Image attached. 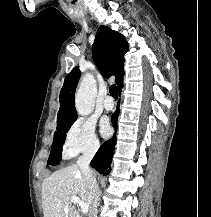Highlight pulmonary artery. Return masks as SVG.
I'll use <instances>...</instances> for the list:
<instances>
[{"label": "pulmonary artery", "instance_id": "pulmonary-artery-1", "mask_svg": "<svg viewBox=\"0 0 211 217\" xmlns=\"http://www.w3.org/2000/svg\"><path fill=\"white\" fill-rule=\"evenodd\" d=\"M103 106L106 110L110 111L114 108V102L111 96H107L104 100Z\"/></svg>", "mask_w": 211, "mask_h": 217}]
</instances>
